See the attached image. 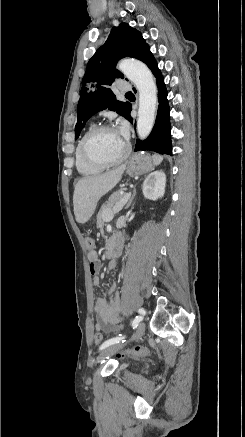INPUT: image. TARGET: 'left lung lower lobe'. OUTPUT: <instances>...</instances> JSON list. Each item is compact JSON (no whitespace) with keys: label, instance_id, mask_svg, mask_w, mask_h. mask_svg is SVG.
<instances>
[{"label":"left lung lower lobe","instance_id":"1","mask_svg":"<svg viewBox=\"0 0 245 437\" xmlns=\"http://www.w3.org/2000/svg\"><path fill=\"white\" fill-rule=\"evenodd\" d=\"M142 62L146 63L150 68L154 76L156 77V83L158 87V112L156 117L155 125L152 129L149 137L144 140H138L134 151H154L159 154L172 155V143L170 137L171 125H170V108L167 100V90L164 83V78L158 69L157 62L153 57L150 50H148L140 59ZM132 106L129 108V112L126 119L131 123L133 122L130 116V111Z\"/></svg>","mask_w":245,"mask_h":437}]
</instances>
